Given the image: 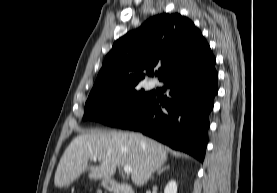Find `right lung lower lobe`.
Here are the masks:
<instances>
[{"mask_svg":"<svg viewBox=\"0 0 277 193\" xmlns=\"http://www.w3.org/2000/svg\"><path fill=\"white\" fill-rule=\"evenodd\" d=\"M215 63L209 49L195 61L170 73L162 80L164 91H170L169 96L163 100L152 96L119 128L141 131L202 162L208 141L209 113L218 92Z\"/></svg>","mask_w":277,"mask_h":193,"instance_id":"1","label":"right lung lower lobe"}]
</instances>
